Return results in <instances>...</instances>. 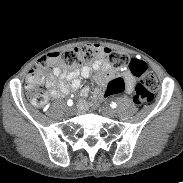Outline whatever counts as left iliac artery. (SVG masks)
<instances>
[{"label":"left iliac artery","mask_w":183,"mask_h":183,"mask_svg":"<svg viewBox=\"0 0 183 183\" xmlns=\"http://www.w3.org/2000/svg\"><path fill=\"white\" fill-rule=\"evenodd\" d=\"M110 106H111L112 108H116L117 104H116L115 102H112V103L110 104Z\"/></svg>","instance_id":"left-iliac-artery-1"}]
</instances>
